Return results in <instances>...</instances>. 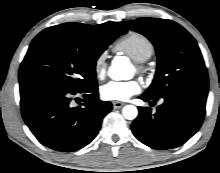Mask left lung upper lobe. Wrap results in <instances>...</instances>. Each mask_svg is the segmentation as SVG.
I'll use <instances>...</instances> for the list:
<instances>
[{
  "instance_id": "obj_1",
  "label": "left lung upper lobe",
  "mask_w": 220,
  "mask_h": 173,
  "mask_svg": "<svg viewBox=\"0 0 220 173\" xmlns=\"http://www.w3.org/2000/svg\"><path fill=\"white\" fill-rule=\"evenodd\" d=\"M121 24L143 34L155 46L157 70L145 95L162 98L178 92L208 94V75L201 52L182 26L157 18H138Z\"/></svg>"
}]
</instances>
